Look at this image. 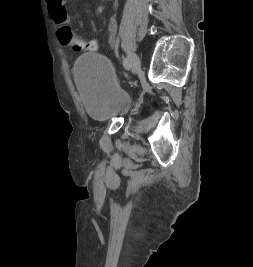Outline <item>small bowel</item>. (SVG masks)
Listing matches in <instances>:
<instances>
[{
	"label": "small bowel",
	"instance_id": "small-bowel-1",
	"mask_svg": "<svg viewBox=\"0 0 253 267\" xmlns=\"http://www.w3.org/2000/svg\"><path fill=\"white\" fill-rule=\"evenodd\" d=\"M49 13L53 20L61 26H70V19L65 0H46ZM118 23L112 17L107 24V41L110 46H115L117 39Z\"/></svg>",
	"mask_w": 253,
	"mask_h": 267
}]
</instances>
